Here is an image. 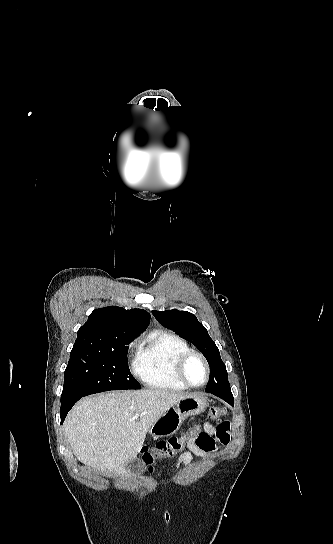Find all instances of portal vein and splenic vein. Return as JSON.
<instances>
[{
  "mask_svg": "<svg viewBox=\"0 0 333 544\" xmlns=\"http://www.w3.org/2000/svg\"><path fill=\"white\" fill-rule=\"evenodd\" d=\"M138 417H139V414H135V415L133 416L132 420H135V419H137Z\"/></svg>",
  "mask_w": 333,
  "mask_h": 544,
  "instance_id": "portal-vein-and-splenic-vein-1",
  "label": "portal vein and splenic vein"
}]
</instances>
